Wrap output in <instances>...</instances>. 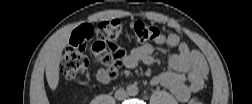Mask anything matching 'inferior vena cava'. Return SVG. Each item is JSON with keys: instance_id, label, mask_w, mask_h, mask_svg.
Wrapping results in <instances>:
<instances>
[{"instance_id": "602c4592", "label": "inferior vena cava", "mask_w": 252, "mask_h": 104, "mask_svg": "<svg viewBox=\"0 0 252 104\" xmlns=\"http://www.w3.org/2000/svg\"><path fill=\"white\" fill-rule=\"evenodd\" d=\"M115 98L117 100H124L127 98V93L124 89H118L116 92H115Z\"/></svg>"}]
</instances>
